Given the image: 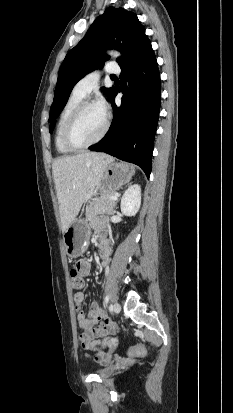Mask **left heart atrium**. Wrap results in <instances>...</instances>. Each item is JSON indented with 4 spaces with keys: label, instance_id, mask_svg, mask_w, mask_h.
Here are the masks:
<instances>
[{
    "label": "left heart atrium",
    "instance_id": "39dd6f15",
    "mask_svg": "<svg viewBox=\"0 0 233 413\" xmlns=\"http://www.w3.org/2000/svg\"><path fill=\"white\" fill-rule=\"evenodd\" d=\"M97 105L99 109L101 110V112L106 116L108 113V109H109L108 103L104 99H100L97 102Z\"/></svg>",
    "mask_w": 233,
    "mask_h": 413
}]
</instances>
